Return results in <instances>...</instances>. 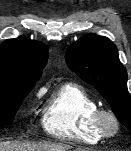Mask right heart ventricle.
Wrapping results in <instances>:
<instances>
[{
	"instance_id": "right-heart-ventricle-1",
	"label": "right heart ventricle",
	"mask_w": 131,
	"mask_h": 151,
	"mask_svg": "<svg viewBox=\"0 0 131 151\" xmlns=\"http://www.w3.org/2000/svg\"><path fill=\"white\" fill-rule=\"evenodd\" d=\"M97 109V103L84 88L65 83L48 99L43 127L57 139L95 144L104 138L92 122Z\"/></svg>"
}]
</instances>
